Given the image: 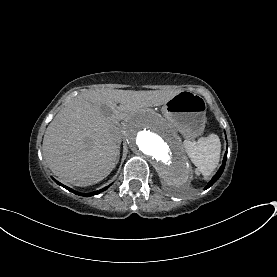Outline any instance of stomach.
<instances>
[{
	"label": "stomach",
	"instance_id": "0dacf381",
	"mask_svg": "<svg viewBox=\"0 0 277 277\" xmlns=\"http://www.w3.org/2000/svg\"><path fill=\"white\" fill-rule=\"evenodd\" d=\"M206 104L190 91H181L162 107L164 117L187 139L199 136L205 127Z\"/></svg>",
	"mask_w": 277,
	"mask_h": 277
}]
</instances>
